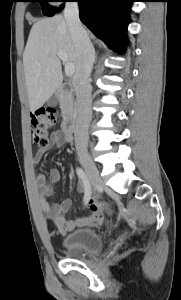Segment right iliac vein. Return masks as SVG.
<instances>
[{
  "label": "right iliac vein",
  "mask_w": 181,
  "mask_h": 300,
  "mask_svg": "<svg viewBox=\"0 0 181 300\" xmlns=\"http://www.w3.org/2000/svg\"><path fill=\"white\" fill-rule=\"evenodd\" d=\"M78 158L83 168L85 169L87 177L89 181L92 183V185L96 186L97 184H99L100 183L99 171L95 163L89 156V154L86 152H81L78 154Z\"/></svg>",
  "instance_id": "right-iliac-vein-1"
}]
</instances>
